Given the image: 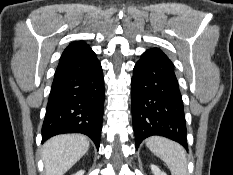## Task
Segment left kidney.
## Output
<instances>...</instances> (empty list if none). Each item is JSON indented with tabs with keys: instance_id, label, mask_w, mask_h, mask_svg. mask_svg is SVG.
<instances>
[{
	"instance_id": "left-kidney-1",
	"label": "left kidney",
	"mask_w": 233,
	"mask_h": 175,
	"mask_svg": "<svg viewBox=\"0 0 233 175\" xmlns=\"http://www.w3.org/2000/svg\"><path fill=\"white\" fill-rule=\"evenodd\" d=\"M151 170L154 175H167L165 172H162L160 168L156 165H151Z\"/></svg>"
}]
</instances>
